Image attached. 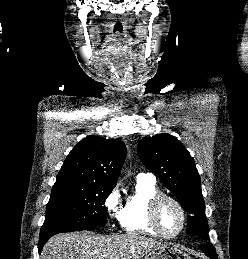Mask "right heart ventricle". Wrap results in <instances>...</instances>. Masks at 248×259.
Returning <instances> with one entry per match:
<instances>
[{
  "mask_svg": "<svg viewBox=\"0 0 248 259\" xmlns=\"http://www.w3.org/2000/svg\"><path fill=\"white\" fill-rule=\"evenodd\" d=\"M161 191L154 180L137 177L133 192L126 198L121 211V225L126 232L158 235L149 220L151 200Z\"/></svg>",
  "mask_w": 248,
  "mask_h": 259,
  "instance_id": "e07e8e85",
  "label": "right heart ventricle"
}]
</instances>
